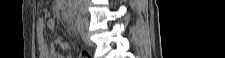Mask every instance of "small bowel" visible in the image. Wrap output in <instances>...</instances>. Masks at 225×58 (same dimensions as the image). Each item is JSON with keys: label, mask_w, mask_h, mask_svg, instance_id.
<instances>
[{"label": "small bowel", "mask_w": 225, "mask_h": 58, "mask_svg": "<svg viewBox=\"0 0 225 58\" xmlns=\"http://www.w3.org/2000/svg\"><path fill=\"white\" fill-rule=\"evenodd\" d=\"M39 24L43 27L44 25L48 30L54 33L55 30V22L53 19L48 20L44 23L43 19L39 20ZM57 48H60L67 52V55H61ZM74 51V47L68 42L62 41L59 38H54L51 45L48 47L46 45H42L40 52L43 58H71V53Z\"/></svg>", "instance_id": "1"}]
</instances>
